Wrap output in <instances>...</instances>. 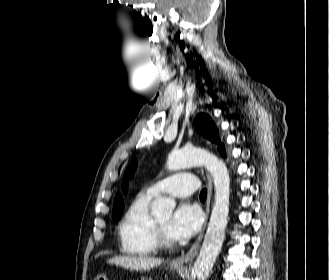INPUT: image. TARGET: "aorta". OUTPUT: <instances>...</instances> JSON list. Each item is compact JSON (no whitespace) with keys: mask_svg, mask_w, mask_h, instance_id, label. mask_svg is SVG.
I'll list each match as a JSON object with an SVG mask.
<instances>
[{"mask_svg":"<svg viewBox=\"0 0 329 280\" xmlns=\"http://www.w3.org/2000/svg\"><path fill=\"white\" fill-rule=\"evenodd\" d=\"M193 166H205L213 177L215 200L210 221L199 255L194 263L191 276L197 280H206L212 271L225 237L228 223L230 177L225 163L215 155L197 148H184L172 151L167 160L171 171ZM175 202L168 198H158L152 206L157 216H170Z\"/></svg>","mask_w":329,"mask_h":280,"instance_id":"aorta-1","label":"aorta"}]
</instances>
